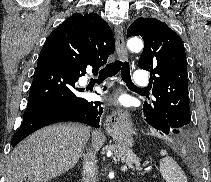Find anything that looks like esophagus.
Returning a JSON list of instances; mask_svg holds the SVG:
<instances>
[{"label": "esophagus", "mask_w": 211, "mask_h": 182, "mask_svg": "<svg viewBox=\"0 0 211 182\" xmlns=\"http://www.w3.org/2000/svg\"><path fill=\"white\" fill-rule=\"evenodd\" d=\"M114 32H115L117 56L119 59L125 60L127 58V50L125 47L123 29L120 26H116ZM122 115H124V113H122L121 110L114 113L113 115L114 122L111 120V123H117L121 119Z\"/></svg>", "instance_id": "obj_1"}]
</instances>
